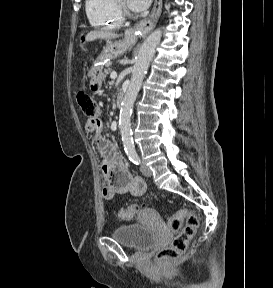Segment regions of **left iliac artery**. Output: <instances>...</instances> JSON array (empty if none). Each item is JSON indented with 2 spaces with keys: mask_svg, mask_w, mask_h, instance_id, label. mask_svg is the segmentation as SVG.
<instances>
[{
  "mask_svg": "<svg viewBox=\"0 0 273 288\" xmlns=\"http://www.w3.org/2000/svg\"><path fill=\"white\" fill-rule=\"evenodd\" d=\"M129 159L136 165H139L141 163L140 158L136 152L130 153Z\"/></svg>",
  "mask_w": 273,
  "mask_h": 288,
  "instance_id": "obj_1",
  "label": "left iliac artery"
}]
</instances>
